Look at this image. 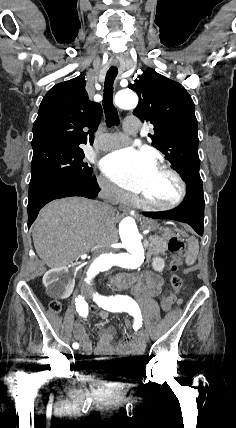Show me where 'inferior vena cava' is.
I'll return each mask as SVG.
<instances>
[{"label":"inferior vena cava","mask_w":236,"mask_h":428,"mask_svg":"<svg viewBox=\"0 0 236 428\" xmlns=\"http://www.w3.org/2000/svg\"><path fill=\"white\" fill-rule=\"evenodd\" d=\"M99 186L101 188V192H99L98 194V198H101V200H103V202H101V204H99L103 214H108L107 216V223H110V221H112V216H114V210H113V206H111V204H114V194L116 192V188L115 186H113V184H111V182H107V180H99ZM93 258L95 259L99 254L102 255L103 250L106 249H102L100 246V242L102 240L101 235L96 234L93 237ZM100 248V249H99ZM83 295L85 296L90 295V292L86 291V287L84 286L83 288ZM87 292V293H86Z\"/></svg>","instance_id":"1"}]
</instances>
